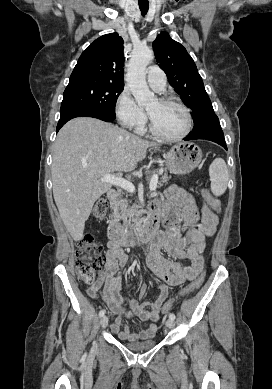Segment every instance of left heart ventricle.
Wrapping results in <instances>:
<instances>
[{"instance_id": "obj_1", "label": "left heart ventricle", "mask_w": 272, "mask_h": 389, "mask_svg": "<svg viewBox=\"0 0 272 389\" xmlns=\"http://www.w3.org/2000/svg\"><path fill=\"white\" fill-rule=\"evenodd\" d=\"M156 128L163 134L175 136L186 127L187 119L183 110L174 104H161L154 101L147 109Z\"/></svg>"}]
</instances>
